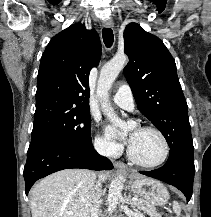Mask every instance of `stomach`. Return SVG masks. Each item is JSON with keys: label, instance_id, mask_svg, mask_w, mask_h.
<instances>
[{"label": "stomach", "instance_id": "0dacf381", "mask_svg": "<svg viewBox=\"0 0 211 217\" xmlns=\"http://www.w3.org/2000/svg\"><path fill=\"white\" fill-rule=\"evenodd\" d=\"M129 178L131 190L152 205L162 206L168 202L169 193L160 181L139 174H130Z\"/></svg>", "mask_w": 211, "mask_h": 217}]
</instances>
